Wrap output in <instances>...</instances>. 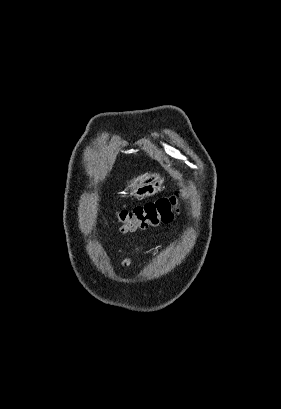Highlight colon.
<instances>
[{
    "instance_id": "1",
    "label": "colon",
    "mask_w": 281,
    "mask_h": 409,
    "mask_svg": "<svg viewBox=\"0 0 281 409\" xmlns=\"http://www.w3.org/2000/svg\"><path fill=\"white\" fill-rule=\"evenodd\" d=\"M176 202L177 197L173 195L143 205L123 208L117 213L121 229L123 231H136L168 222L174 217L172 208Z\"/></svg>"
}]
</instances>
